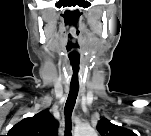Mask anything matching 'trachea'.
<instances>
[{"mask_svg": "<svg viewBox=\"0 0 151 136\" xmlns=\"http://www.w3.org/2000/svg\"><path fill=\"white\" fill-rule=\"evenodd\" d=\"M77 77H78V70L73 72L72 80L70 83V91L64 108V115L66 119V130H65L66 136H69L71 132V116L79 91V83Z\"/></svg>", "mask_w": 151, "mask_h": 136, "instance_id": "obj_1", "label": "trachea"}]
</instances>
